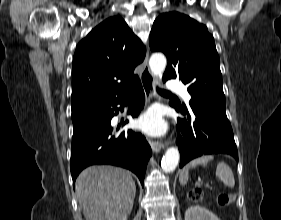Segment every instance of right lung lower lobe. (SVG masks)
Instances as JSON below:
<instances>
[{
	"label": "right lung lower lobe",
	"instance_id": "right-lung-lower-lobe-1",
	"mask_svg": "<svg viewBox=\"0 0 281 220\" xmlns=\"http://www.w3.org/2000/svg\"><path fill=\"white\" fill-rule=\"evenodd\" d=\"M136 94L128 114L139 115L144 106L145 96L141 83L125 96L117 98L100 108L81 115L73 121L71 146V173L75 182L78 174L95 164H111L134 172L144 184L147 162L152 154L145 137L131 130L117 133L111 126V119L118 114V104L125 106Z\"/></svg>",
	"mask_w": 281,
	"mask_h": 220
}]
</instances>
